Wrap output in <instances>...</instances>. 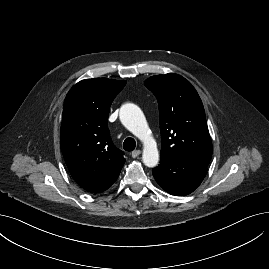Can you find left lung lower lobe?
Returning <instances> with one entry per match:
<instances>
[{"label":"left lung lower lobe","instance_id":"left-lung-lower-lobe-1","mask_svg":"<svg viewBox=\"0 0 269 269\" xmlns=\"http://www.w3.org/2000/svg\"><path fill=\"white\" fill-rule=\"evenodd\" d=\"M207 166L162 155L160 164L152 173L156 182L168 193L176 196L193 192L206 175Z\"/></svg>","mask_w":269,"mask_h":269}]
</instances>
